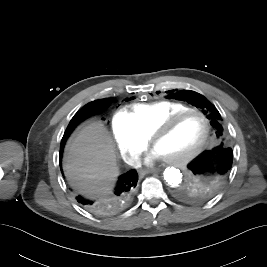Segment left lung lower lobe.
<instances>
[{
    "mask_svg": "<svg viewBox=\"0 0 267 267\" xmlns=\"http://www.w3.org/2000/svg\"><path fill=\"white\" fill-rule=\"evenodd\" d=\"M190 185L183 189L187 201L205 199L222 191L235 173V160L230 143L219 139L213 150L205 151L188 164Z\"/></svg>",
    "mask_w": 267,
    "mask_h": 267,
    "instance_id": "left-lung-lower-lobe-1",
    "label": "left lung lower lobe"
}]
</instances>
